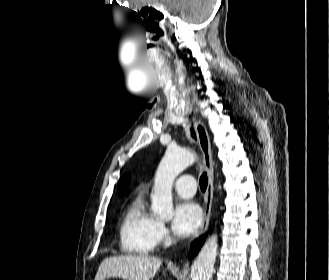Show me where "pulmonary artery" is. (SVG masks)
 Returning a JSON list of instances; mask_svg holds the SVG:
<instances>
[{"label":"pulmonary artery","mask_w":329,"mask_h":280,"mask_svg":"<svg viewBox=\"0 0 329 280\" xmlns=\"http://www.w3.org/2000/svg\"><path fill=\"white\" fill-rule=\"evenodd\" d=\"M175 192L182 198H191L195 194L196 183L191 175H182L174 183Z\"/></svg>","instance_id":"1"}]
</instances>
